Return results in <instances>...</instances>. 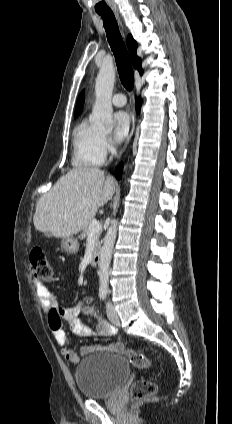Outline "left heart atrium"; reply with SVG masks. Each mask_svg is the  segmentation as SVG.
<instances>
[{"instance_id": "39dd6f15", "label": "left heart atrium", "mask_w": 232, "mask_h": 424, "mask_svg": "<svg viewBox=\"0 0 232 424\" xmlns=\"http://www.w3.org/2000/svg\"><path fill=\"white\" fill-rule=\"evenodd\" d=\"M131 119L127 112L120 111L115 115V139L122 141L130 133Z\"/></svg>"}]
</instances>
